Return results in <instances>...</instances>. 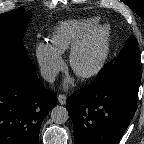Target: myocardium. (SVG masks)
<instances>
[{"instance_id": "obj_1", "label": "myocardium", "mask_w": 144, "mask_h": 144, "mask_svg": "<svg viewBox=\"0 0 144 144\" xmlns=\"http://www.w3.org/2000/svg\"><path fill=\"white\" fill-rule=\"evenodd\" d=\"M93 43L100 46L99 55L95 62L84 69L78 67V59L84 51ZM111 49V32L106 25L98 26L85 34L71 48L69 65L72 71L80 79H90L97 76L104 68Z\"/></svg>"}]
</instances>
